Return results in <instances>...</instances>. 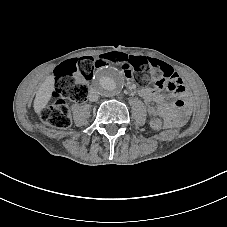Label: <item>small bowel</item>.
<instances>
[{
	"instance_id": "obj_1",
	"label": "small bowel",
	"mask_w": 227,
	"mask_h": 227,
	"mask_svg": "<svg viewBox=\"0 0 227 227\" xmlns=\"http://www.w3.org/2000/svg\"><path fill=\"white\" fill-rule=\"evenodd\" d=\"M185 88L180 93H184ZM139 94L148 102H154L155 105L150 106L148 112L152 116H166L174 120L175 123H183L189 114L186 102L180 98L174 104H168L156 89L142 87Z\"/></svg>"
}]
</instances>
